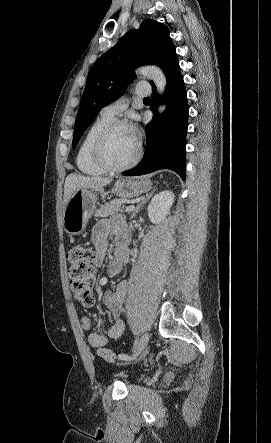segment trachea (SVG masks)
<instances>
[{
  "label": "trachea",
  "mask_w": 271,
  "mask_h": 443,
  "mask_svg": "<svg viewBox=\"0 0 271 443\" xmlns=\"http://www.w3.org/2000/svg\"><path fill=\"white\" fill-rule=\"evenodd\" d=\"M147 100H150V98L146 97V98L143 99V101H147Z\"/></svg>",
  "instance_id": "trachea-1"
}]
</instances>
